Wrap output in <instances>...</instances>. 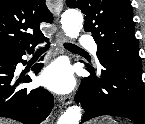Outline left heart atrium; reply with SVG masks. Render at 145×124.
I'll list each match as a JSON object with an SVG mask.
<instances>
[{"instance_id":"left-heart-atrium-1","label":"left heart atrium","mask_w":145,"mask_h":124,"mask_svg":"<svg viewBox=\"0 0 145 124\" xmlns=\"http://www.w3.org/2000/svg\"><path fill=\"white\" fill-rule=\"evenodd\" d=\"M41 82L50 89L59 93L68 92L74 84L68 65L61 62L49 66L42 73Z\"/></svg>"}]
</instances>
